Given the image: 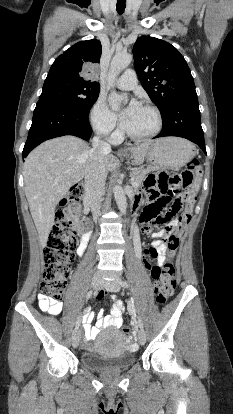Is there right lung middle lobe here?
<instances>
[{"mask_svg":"<svg viewBox=\"0 0 233 414\" xmlns=\"http://www.w3.org/2000/svg\"><path fill=\"white\" fill-rule=\"evenodd\" d=\"M100 86L64 77H47L39 100H51L89 113L99 96Z\"/></svg>","mask_w":233,"mask_h":414,"instance_id":"obj_1","label":"right lung middle lobe"}]
</instances>
